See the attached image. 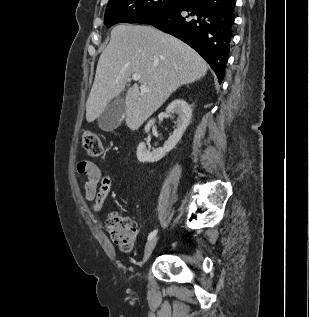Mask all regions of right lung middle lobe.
<instances>
[{
	"mask_svg": "<svg viewBox=\"0 0 309 317\" xmlns=\"http://www.w3.org/2000/svg\"><path fill=\"white\" fill-rule=\"evenodd\" d=\"M187 0H109L104 25L108 28L118 23H135L138 19L156 12L173 9Z\"/></svg>",
	"mask_w": 309,
	"mask_h": 317,
	"instance_id": "obj_1",
	"label": "right lung middle lobe"
}]
</instances>
